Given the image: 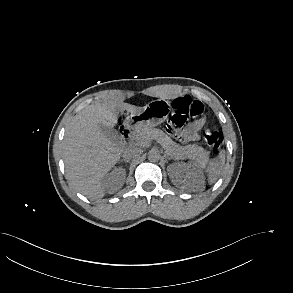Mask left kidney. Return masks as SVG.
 <instances>
[{
    "mask_svg": "<svg viewBox=\"0 0 293 293\" xmlns=\"http://www.w3.org/2000/svg\"><path fill=\"white\" fill-rule=\"evenodd\" d=\"M173 173L172 182L177 187H189L193 190L202 191L204 189V175L202 170L192 164L177 162L171 164Z\"/></svg>",
    "mask_w": 293,
    "mask_h": 293,
    "instance_id": "obj_1",
    "label": "left kidney"
}]
</instances>
